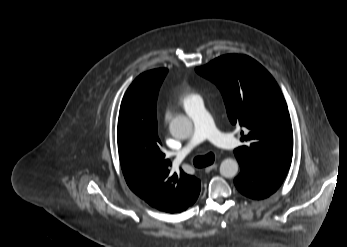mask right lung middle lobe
Masks as SVG:
<instances>
[{"mask_svg":"<svg viewBox=\"0 0 347 247\" xmlns=\"http://www.w3.org/2000/svg\"><path fill=\"white\" fill-rule=\"evenodd\" d=\"M152 73H153L154 77L163 81V79L167 73V70L166 69H156V70H152Z\"/></svg>","mask_w":347,"mask_h":247,"instance_id":"1","label":"right lung middle lobe"}]
</instances>
